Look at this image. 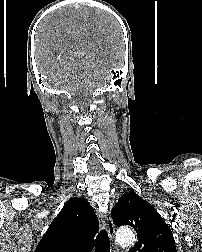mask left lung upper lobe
<instances>
[{
    "instance_id": "5c2ea615",
    "label": "left lung upper lobe",
    "mask_w": 202,
    "mask_h": 252,
    "mask_svg": "<svg viewBox=\"0 0 202 252\" xmlns=\"http://www.w3.org/2000/svg\"><path fill=\"white\" fill-rule=\"evenodd\" d=\"M113 222L132 226L138 241L129 252H177L173 234L154 207L133 191L125 192L112 209Z\"/></svg>"
}]
</instances>
